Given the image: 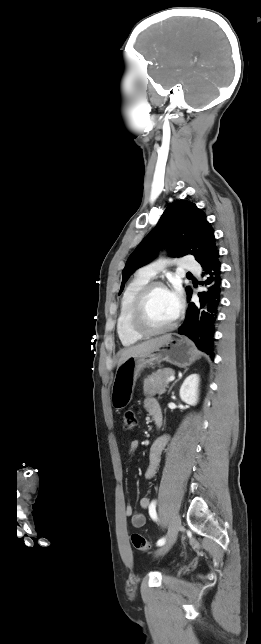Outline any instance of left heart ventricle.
<instances>
[{
  "mask_svg": "<svg viewBox=\"0 0 261 644\" xmlns=\"http://www.w3.org/2000/svg\"><path fill=\"white\" fill-rule=\"evenodd\" d=\"M177 315L176 306L169 291L155 289L145 305V322L150 328H161L170 324Z\"/></svg>",
  "mask_w": 261,
  "mask_h": 644,
  "instance_id": "b2bd125f",
  "label": "left heart ventricle"
}]
</instances>
